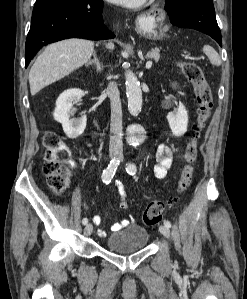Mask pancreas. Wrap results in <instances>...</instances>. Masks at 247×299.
I'll return each mask as SVG.
<instances>
[{
	"instance_id": "obj_1",
	"label": "pancreas",
	"mask_w": 247,
	"mask_h": 299,
	"mask_svg": "<svg viewBox=\"0 0 247 299\" xmlns=\"http://www.w3.org/2000/svg\"><path fill=\"white\" fill-rule=\"evenodd\" d=\"M148 59H154L155 61H158L160 58L159 50L154 49L151 52H149L146 56Z\"/></svg>"
}]
</instances>
